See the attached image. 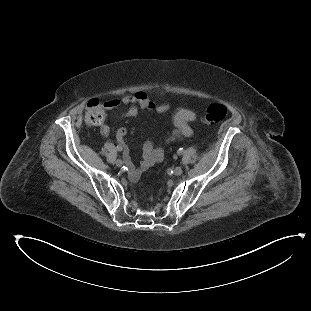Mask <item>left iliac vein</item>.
Masks as SVG:
<instances>
[{"label": "left iliac vein", "mask_w": 311, "mask_h": 311, "mask_svg": "<svg viewBox=\"0 0 311 311\" xmlns=\"http://www.w3.org/2000/svg\"><path fill=\"white\" fill-rule=\"evenodd\" d=\"M182 173H183V170H182V168H181L180 166H178V167H176V168L174 169V174H175L176 176H180Z\"/></svg>", "instance_id": "obj_1"}]
</instances>
